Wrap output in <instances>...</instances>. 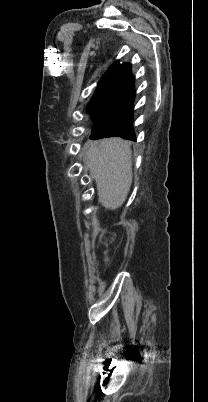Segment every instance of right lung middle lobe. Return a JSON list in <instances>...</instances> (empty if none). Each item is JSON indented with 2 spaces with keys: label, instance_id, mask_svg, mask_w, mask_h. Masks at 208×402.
Listing matches in <instances>:
<instances>
[{
  "label": "right lung middle lobe",
  "instance_id": "obj_1",
  "mask_svg": "<svg viewBox=\"0 0 208 402\" xmlns=\"http://www.w3.org/2000/svg\"><path fill=\"white\" fill-rule=\"evenodd\" d=\"M123 100L118 91L107 89L103 92L96 93L88 103V111L93 117L110 119L115 123L121 113Z\"/></svg>",
  "mask_w": 208,
  "mask_h": 402
}]
</instances>
